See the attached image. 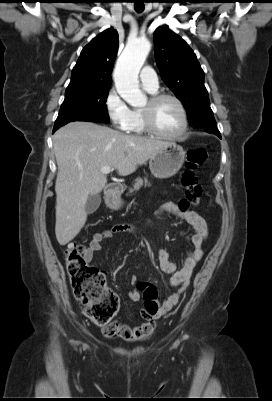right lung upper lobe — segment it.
<instances>
[{
    "mask_svg": "<svg viewBox=\"0 0 272 401\" xmlns=\"http://www.w3.org/2000/svg\"><path fill=\"white\" fill-rule=\"evenodd\" d=\"M118 33L109 28L81 51L65 93L99 86H111V72L118 51Z\"/></svg>",
    "mask_w": 272,
    "mask_h": 401,
    "instance_id": "cb5924a9",
    "label": "right lung upper lobe"
}]
</instances>
